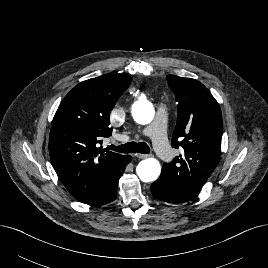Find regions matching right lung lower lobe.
Returning a JSON list of instances; mask_svg holds the SVG:
<instances>
[{
	"label": "right lung lower lobe",
	"instance_id": "1",
	"mask_svg": "<svg viewBox=\"0 0 268 268\" xmlns=\"http://www.w3.org/2000/svg\"><path fill=\"white\" fill-rule=\"evenodd\" d=\"M132 157L126 155L122 163L118 166L115 172L112 174L108 184L104 187L100 195L93 200L89 205L91 206H101L112 202L117 196V184L122 176L126 166L130 163Z\"/></svg>",
	"mask_w": 268,
	"mask_h": 268
}]
</instances>
